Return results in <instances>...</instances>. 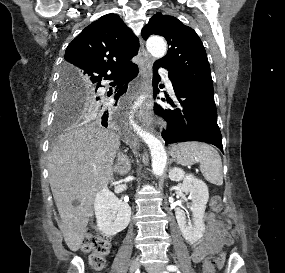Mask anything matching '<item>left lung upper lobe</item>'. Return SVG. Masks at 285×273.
Returning a JSON list of instances; mask_svg holds the SVG:
<instances>
[{
  "instance_id": "1",
  "label": "left lung upper lobe",
  "mask_w": 285,
  "mask_h": 273,
  "mask_svg": "<svg viewBox=\"0 0 285 273\" xmlns=\"http://www.w3.org/2000/svg\"><path fill=\"white\" fill-rule=\"evenodd\" d=\"M152 34L163 36L170 47L155 64L168 69L183 84L213 88L205 48L193 29L173 16L157 13L142 29L145 40Z\"/></svg>"
}]
</instances>
